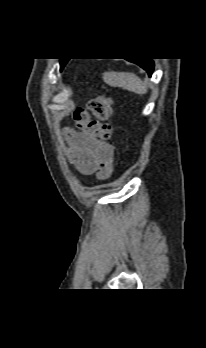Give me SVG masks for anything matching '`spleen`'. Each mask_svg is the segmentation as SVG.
<instances>
[{
    "label": "spleen",
    "mask_w": 206,
    "mask_h": 348,
    "mask_svg": "<svg viewBox=\"0 0 206 348\" xmlns=\"http://www.w3.org/2000/svg\"><path fill=\"white\" fill-rule=\"evenodd\" d=\"M103 79L112 87H120L139 95L147 93V85L134 73L107 72Z\"/></svg>",
    "instance_id": "3e777b00"
}]
</instances>
